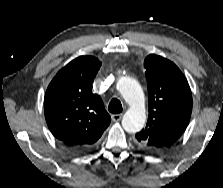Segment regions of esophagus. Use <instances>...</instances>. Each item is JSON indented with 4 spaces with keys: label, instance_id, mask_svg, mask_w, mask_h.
Wrapping results in <instances>:
<instances>
[{
    "label": "esophagus",
    "instance_id": "obj_1",
    "mask_svg": "<svg viewBox=\"0 0 223 188\" xmlns=\"http://www.w3.org/2000/svg\"><path fill=\"white\" fill-rule=\"evenodd\" d=\"M122 117H123V114L122 113H120V114H113L112 115V120L114 122H118V121H120L122 119Z\"/></svg>",
    "mask_w": 223,
    "mask_h": 188
}]
</instances>
